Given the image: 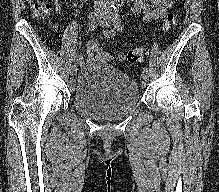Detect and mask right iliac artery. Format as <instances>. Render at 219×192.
I'll list each match as a JSON object with an SVG mask.
<instances>
[{
	"label": "right iliac artery",
	"instance_id": "1",
	"mask_svg": "<svg viewBox=\"0 0 219 192\" xmlns=\"http://www.w3.org/2000/svg\"><path fill=\"white\" fill-rule=\"evenodd\" d=\"M114 7L115 6L113 4L110 6V8H114ZM89 18L91 19V22L89 23L88 29L89 31H93L99 25L100 17H95L94 14L91 13ZM81 59L82 57L80 55H76L74 57V61H80Z\"/></svg>",
	"mask_w": 219,
	"mask_h": 192
}]
</instances>
